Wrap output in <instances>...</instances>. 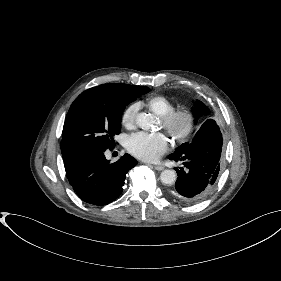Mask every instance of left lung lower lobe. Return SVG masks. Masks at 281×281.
<instances>
[{
    "label": "left lung lower lobe",
    "instance_id": "left-lung-lower-lobe-1",
    "mask_svg": "<svg viewBox=\"0 0 281 281\" xmlns=\"http://www.w3.org/2000/svg\"><path fill=\"white\" fill-rule=\"evenodd\" d=\"M223 139L213 119L206 120L187 143L182 154H170L169 159L183 162L175 168L177 181L172 194L185 203L204 199L213 189L220 170Z\"/></svg>",
    "mask_w": 281,
    "mask_h": 281
}]
</instances>
